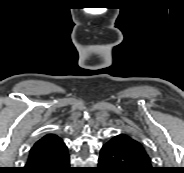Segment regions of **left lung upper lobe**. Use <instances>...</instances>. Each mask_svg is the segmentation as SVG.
Wrapping results in <instances>:
<instances>
[{
    "instance_id": "obj_1",
    "label": "left lung upper lobe",
    "mask_w": 184,
    "mask_h": 173,
    "mask_svg": "<svg viewBox=\"0 0 184 173\" xmlns=\"http://www.w3.org/2000/svg\"><path fill=\"white\" fill-rule=\"evenodd\" d=\"M128 146L140 158V160L144 164H146L150 168H153L151 166V159L149 155L147 154L146 149L138 140L133 139L132 137L129 136Z\"/></svg>"
}]
</instances>
